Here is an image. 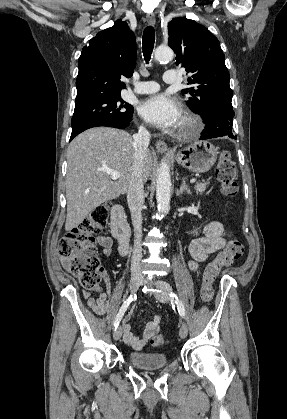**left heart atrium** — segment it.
I'll return each mask as SVG.
<instances>
[{"instance_id": "left-heart-atrium-1", "label": "left heart atrium", "mask_w": 287, "mask_h": 419, "mask_svg": "<svg viewBox=\"0 0 287 419\" xmlns=\"http://www.w3.org/2000/svg\"><path fill=\"white\" fill-rule=\"evenodd\" d=\"M139 113L146 121L159 127L176 126L181 118L179 104L164 93L144 100L139 106Z\"/></svg>"}]
</instances>
